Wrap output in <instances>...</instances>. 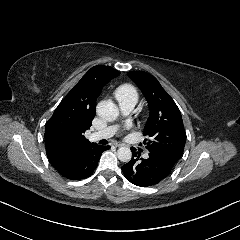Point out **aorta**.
Wrapping results in <instances>:
<instances>
[{"label": "aorta", "mask_w": 240, "mask_h": 240, "mask_svg": "<svg viewBox=\"0 0 240 240\" xmlns=\"http://www.w3.org/2000/svg\"><path fill=\"white\" fill-rule=\"evenodd\" d=\"M97 115L107 122L114 121L118 117V107L111 100L100 101L96 105ZM118 159L122 162L130 161L132 153L130 148L121 146L117 150Z\"/></svg>", "instance_id": "aorta-1"}]
</instances>
